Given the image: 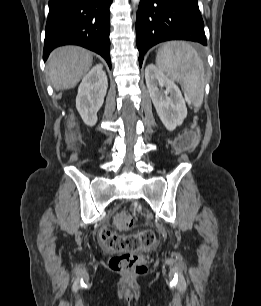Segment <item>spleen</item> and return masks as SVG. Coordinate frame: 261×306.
Here are the masks:
<instances>
[{"label": "spleen", "mask_w": 261, "mask_h": 306, "mask_svg": "<svg viewBox=\"0 0 261 306\" xmlns=\"http://www.w3.org/2000/svg\"><path fill=\"white\" fill-rule=\"evenodd\" d=\"M156 65L171 80L181 84L188 103L199 108L204 97V66L197 51L183 41L165 43L158 51Z\"/></svg>", "instance_id": "3e777b00"}]
</instances>
